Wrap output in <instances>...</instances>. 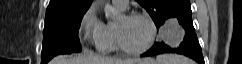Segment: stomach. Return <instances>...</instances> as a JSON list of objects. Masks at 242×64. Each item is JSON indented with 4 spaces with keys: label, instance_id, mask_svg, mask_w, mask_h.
<instances>
[{
    "label": "stomach",
    "instance_id": "stomach-1",
    "mask_svg": "<svg viewBox=\"0 0 242 64\" xmlns=\"http://www.w3.org/2000/svg\"><path fill=\"white\" fill-rule=\"evenodd\" d=\"M146 64H157L154 60L152 62L146 63Z\"/></svg>",
    "mask_w": 242,
    "mask_h": 64
}]
</instances>
